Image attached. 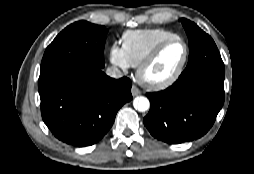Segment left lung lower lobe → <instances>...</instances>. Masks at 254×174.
<instances>
[{
    "mask_svg": "<svg viewBox=\"0 0 254 174\" xmlns=\"http://www.w3.org/2000/svg\"><path fill=\"white\" fill-rule=\"evenodd\" d=\"M224 73L202 70L179 77L164 91L147 93L150 110L143 122L151 135L179 144L206 134L224 103Z\"/></svg>",
    "mask_w": 254,
    "mask_h": 174,
    "instance_id": "obj_1",
    "label": "left lung lower lobe"
}]
</instances>
